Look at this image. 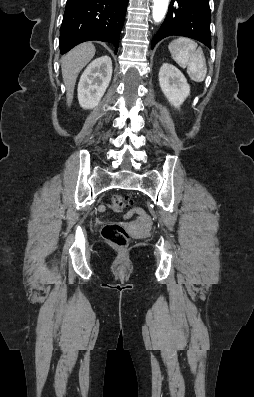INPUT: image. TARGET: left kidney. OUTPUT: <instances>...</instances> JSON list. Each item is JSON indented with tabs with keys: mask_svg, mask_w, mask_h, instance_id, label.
Returning a JSON list of instances; mask_svg holds the SVG:
<instances>
[{
	"mask_svg": "<svg viewBox=\"0 0 254 397\" xmlns=\"http://www.w3.org/2000/svg\"><path fill=\"white\" fill-rule=\"evenodd\" d=\"M159 84L171 105L180 108L190 95V86L184 75L175 66L163 63L159 71Z\"/></svg>",
	"mask_w": 254,
	"mask_h": 397,
	"instance_id": "obj_1",
	"label": "left kidney"
}]
</instances>
